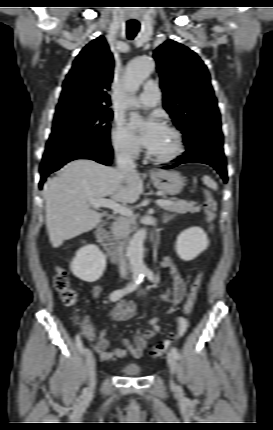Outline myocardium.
Returning a JSON list of instances; mask_svg holds the SVG:
<instances>
[{
  "mask_svg": "<svg viewBox=\"0 0 273 430\" xmlns=\"http://www.w3.org/2000/svg\"><path fill=\"white\" fill-rule=\"evenodd\" d=\"M165 129L170 132L174 137V149L173 151L164 156H158L153 154L152 152H149V157L152 161L156 163H169L177 158H179L182 153L184 152V138L180 130H178L174 126H166Z\"/></svg>",
  "mask_w": 273,
  "mask_h": 430,
  "instance_id": "myocardium-1",
  "label": "myocardium"
}]
</instances>
